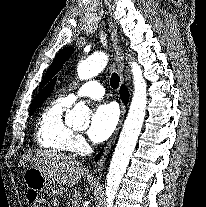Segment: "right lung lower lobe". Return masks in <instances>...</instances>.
Segmentation results:
<instances>
[{"label":"right lung lower lobe","instance_id":"98d812e1","mask_svg":"<svg viewBox=\"0 0 206 207\" xmlns=\"http://www.w3.org/2000/svg\"><path fill=\"white\" fill-rule=\"evenodd\" d=\"M120 95H121V99H122V101H123L125 104H127L128 99H129V93H128V91H127V89H126L125 86H122V87H121ZM97 158H98V157H97Z\"/></svg>","mask_w":206,"mask_h":207}]
</instances>
